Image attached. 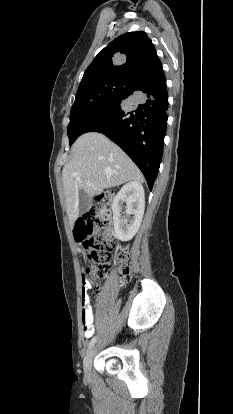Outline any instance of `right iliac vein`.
Returning <instances> with one entry per match:
<instances>
[{
  "label": "right iliac vein",
  "instance_id": "obj_1",
  "mask_svg": "<svg viewBox=\"0 0 233 414\" xmlns=\"http://www.w3.org/2000/svg\"><path fill=\"white\" fill-rule=\"evenodd\" d=\"M93 356H94V348H92L86 355L85 359H84V373L86 377L90 376L91 373V365H92V360H93Z\"/></svg>",
  "mask_w": 233,
  "mask_h": 414
}]
</instances>
